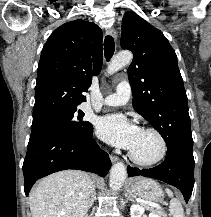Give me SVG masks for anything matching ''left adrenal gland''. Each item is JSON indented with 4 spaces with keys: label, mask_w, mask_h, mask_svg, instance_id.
I'll return each instance as SVG.
<instances>
[{
    "label": "left adrenal gland",
    "mask_w": 211,
    "mask_h": 217,
    "mask_svg": "<svg viewBox=\"0 0 211 217\" xmlns=\"http://www.w3.org/2000/svg\"><path fill=\"white\" fill-rule=\"evenodd\" d=\"M127 200H130V201H133V202L135 201L133 196H132V193L130 191L128 192Z\"/></svg>",
    "instance_id": "obj_1"
}]
</instances>
